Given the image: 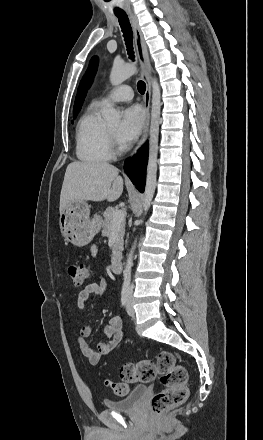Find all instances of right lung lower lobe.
<instances>
[{
  "mask_svg": "<svg viewBox=\"0 0 263 440\" xmlns=\"http://www.w3.org/2000/svg\"><path fill=\"white\" fill-rule=\"evenodd\" d=\"M148 161V144H144L138 151L137 155L128 158L125 161L124 169L140 192L144 191L145 187V172Z\"/></svg>",
  "mask_w": 263,
  "mask_h": 440,
  "instance_id": "1",
  "label": "right lung lower lobe"
}]
</instances>
